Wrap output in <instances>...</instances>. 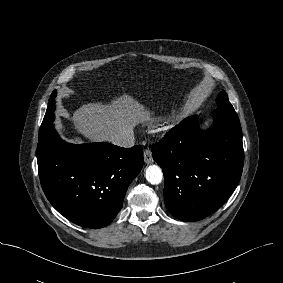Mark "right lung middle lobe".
<instances>
[{
    "instance_id": "obj_1",
    "label": "right lung middle lobe",
    "mask_w": 283,
    "mask_h": 283,
    "mask_svg": "<svg viewBox=\"0 0 283 283\" xmlns=\"http://www.w3.org/2000/svg\"><path fill=\"white\" fill-rule=\"evenodd\" d=\"M55 97H56V92L54 91L50 96V99H49V102H48V108H47L46 114L44 116L43 122H42L41 127H40L39 141H41L46 136L49 129L53 126V121H54V118H55V114H54V111H55V101H54V99H55Z\"/></svg>"
}]
</instances>
